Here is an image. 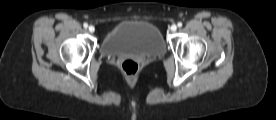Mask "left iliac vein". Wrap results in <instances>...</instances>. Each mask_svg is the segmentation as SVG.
Segmentation results:
<instances>
[{
	"instance_id": "1",
	"label": "left iliac vein",
	"mask_w": 276,
	"mask_h": 120,
	"mask_svg": "<svg viewBox=\"0 0 276 120\" xmlns=\"http://www.w3.org/2000/svg\"><path fill=\"white\" fill-rule=\"evenodd\" d=\"M170 30L172 32H175L177 30V26L175 24H173L171 27H170Z\"/></svg>"
}]
</instances>
